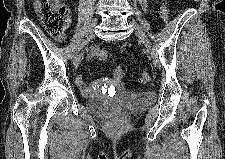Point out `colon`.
Segmentation results:
<instances>
[{
    "label": "colon",
    "instance_id": "5ec220e1",
    "mask_svg": "<svg viewBox=\"0 0 225 159\" xmlns=\"http://www.w3.org/2000/svg\"><path fill=\"white\" fill-rule=\"evenodd\" d=\"M36 9L41 16L42 23L46 31L57 38L63 36L65 29L70 23L69 12L66 4L61 0H37ZM159 14L163 21L169 18V10L165 3L159 8ZM95 55L100 61L109 60V52L104 49H97ZM125 76V70L122 67H116L113 70V77L117 80ZM152 79L150 71L145 70L141 73L139 82L147 83Z\"/></svg>",
    "mask_w": 225,
    "mask_h": 159
}]
</instances>
